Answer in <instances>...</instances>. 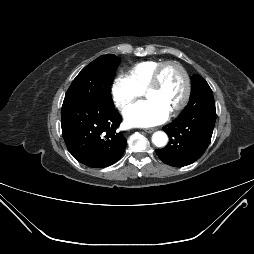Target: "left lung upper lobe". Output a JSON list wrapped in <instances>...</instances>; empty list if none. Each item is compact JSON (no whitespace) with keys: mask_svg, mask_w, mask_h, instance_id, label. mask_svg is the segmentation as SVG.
<instances>
[{"mask_svg":"<svg viewBox=\"0 0 254 254\" xmlns=\"http://www.w3.org/2000/svg\"><path fill=\"white\" fill-rule=\"evenodd\" d=\"M192 90L189 105L208 106L215 105L214 97L208 83L195 74L191 76Z\"/></svg>","mask_w":254,"mask_h":254,"instance_id":"left-lung-upper-lobe-1","label":"left lung upper lobe"}]
</instances>
